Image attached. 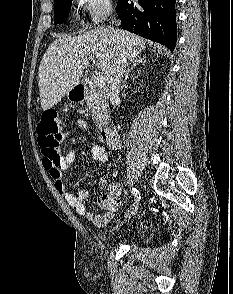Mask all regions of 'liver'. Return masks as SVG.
Masks as SVG:
<instances>
[{
  "mask_svg": "<svg viewBox=\"0 0 233 294\" xmlns=\"http://www.w3.org/2000/svg\"><path fill=\"white\" fill-rule=\"evenodd\" d=\"M146 40L124 30L97 29L77 37L56 39L45 52L39 66V95L46 111L77 85L86 66L97 60V67L110 82L116 58L123 53L133 61L145 49Z\"/></svg>",
  "mask_w": 233,
  "mask_h": 294,
  "instance_id": "1",
  "label": "liver"
}]
</instances>
